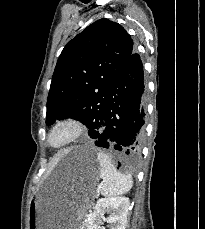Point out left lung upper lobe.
I'll return each instance as SVG.
<instances>
[{
  "instance_id": "obj_1",
  "label": "left lung upper lobe",
  "mask_w": 205,
  "mask_h": 229,
  "mask_svg": "<svg viewBox=\"0 0 205 229\" xmlns=\"http://www.w3.org/2000/svg\"><path fill=\"white\" fill-rule=\"evenodd\" d=\"M132 52L130 35L108 19L97 20L70 40L54 70L46 124L74 118L90 128L89 136L98 131L108 92Z\"/></svg>"
}]
</instances>
